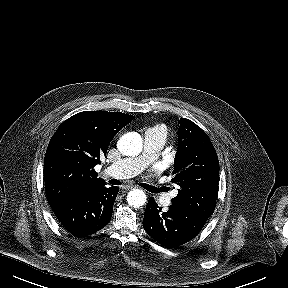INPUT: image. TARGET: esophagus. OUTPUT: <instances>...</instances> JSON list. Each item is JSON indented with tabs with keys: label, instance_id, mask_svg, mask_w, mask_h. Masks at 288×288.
Wrapping results in <instances>:
<instances>
[{
	"label": "esophagus",
	"instance_id": "34e87169",
	"mask_svg": "<svg viewBox=\"0 0 288 288\" xmlns=\"http://www.w3.org/2000/svg\"><path fill=\"white\" fill-rule=\"evenodd\" d=\"M132 188H135V186H133V185H126V186L123 187V189H127V190L132 189Z\"/></svg>",
	"mask_w": 288,
	"mask_h": 288
}]
</instances>
